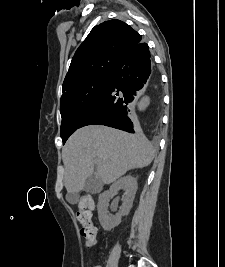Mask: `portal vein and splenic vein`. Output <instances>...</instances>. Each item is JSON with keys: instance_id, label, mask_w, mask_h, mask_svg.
Masks as SVG:
<instances>
[{"instance_id": "obj_1", "label": "portal vein and splenic vein", "mask_w": 225, "mask_h": 267, "mask_svg": "<svg viewBox=\"0 0 225 267\" xmlns=\"http://www.w3.org/2000/svg\"><path fill=\"white\" fill-rule=\"evenodd\" d=\"M95 162H96V163L99 162V159H95Z\"/></svg>"}]
</instances>
